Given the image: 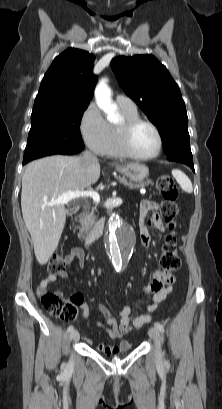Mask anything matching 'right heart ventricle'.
Returning a JSON list of instances; mask_svg holds the SVG:
<instances>
[{
  "mask_svg": "<svg viewBox=\"0 0 222 409\" xmlns=\"http://www.w3.org/2000/svg\"><path fill=\"white\" fill-rule=\"evenodd\" d=\"M120 111L124 117V119H132V118H137L139 117L137 109L130 110L126 108L120 107ZM110 126V132H111V140L106 148L104 154L112 157H123L124 154L122 153L119 143H118V134H117V126L109 125Z\"/></svg>",
  "mask_w": 222,
  "mask_h": 409,
  "instance_id": "right-heart-ventricle-1",
  "label": "right heart ventricle"
}]
</instances>
